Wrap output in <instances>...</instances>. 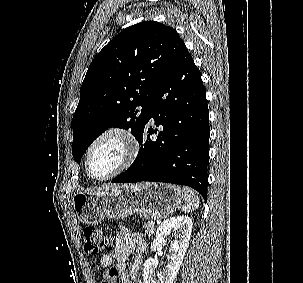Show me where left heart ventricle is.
Returning <instances> with one entry per match:
<instances>
[{"mask_svg": "<svg viewBox=\"0 0 303 283\" xmlns=\"http://www.w3.org/2000/svg\"><path fill=\"white\" fill-rule=\"evenodd\" d=\"M124 146L121 140L108 137L99 142L89 159V171L94 177L111 173L123 160Z\"/></svg>", "mask_w": 303, "mask_h": 283, "instance_id": "b2bd125f", "label": "left heart ventricle"}]
</instances>
